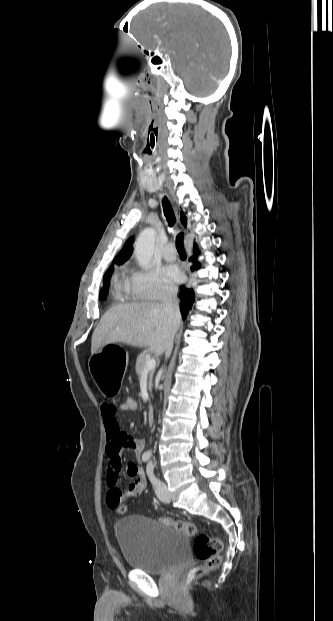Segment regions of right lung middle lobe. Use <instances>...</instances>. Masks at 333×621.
<instances>
[{"label": "right lung middle lobe", "mask_w": 333, "mask_h": 621, "mask_svg": "<svg viewBox=\"0 0 333 621\" xmlns=\"http://www.w3.org/2000/svg\"><path fill=\"white\" fill-rule=\"evenodd\" d=\"M113 270H114V267H110L107 270V272L105 273V275H104V278H103L104 285H103V288L101 289L100 294H99V298L101 300H104L106 298L107 294H108L109 279H110V276H111Z\"/></svg>", "instance_id": "obj_1"}]
</instances>
